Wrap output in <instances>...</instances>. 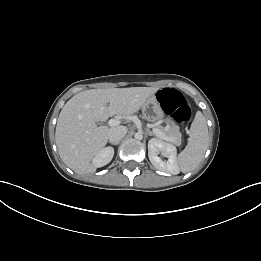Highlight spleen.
<instances>
[{
    "mask_svg": "<svg viewBox=\"0 0 261 261\" xmlns=\"http://www.w3.org/2000/svg\"><path fill=\"white\" fill-rule=\"evenodd\" d=\"M208 146V128L202 113L198 112L190 128V138L178 155V166L183 173L194 170L202 161Z\"/></svg>",
    "mask_w": 261,
    "mask_h": 261,
    "instance_id": "1",
    "label": "spleen"
}]
</instances>
